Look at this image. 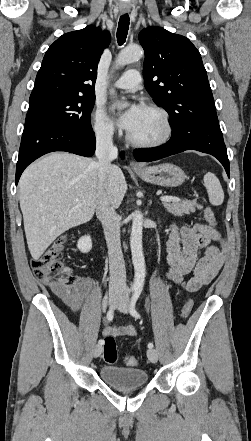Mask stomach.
Segmentation results:
<instances>
[{"mask_svg":"<svg viewBox=\"0 0 251 441\" xmlns=\"http://www.w3.org/2000/svg\"><path fill=\"white\" fill-rule=\"evenodd\" d=\"M135 173L142 180L163 187L180 186L186 178L184 171L180 167L170 163L145 167L142 170H135Z\"/></svg>","mask_w":251,"mask_h":441,"instance_id":"obj_1","label":"stomach"}]
</instances>
